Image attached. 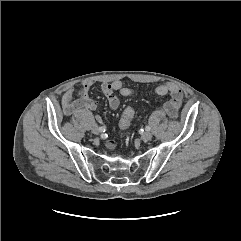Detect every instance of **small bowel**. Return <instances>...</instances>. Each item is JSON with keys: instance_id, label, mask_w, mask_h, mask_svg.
<instances>
[{"instance_id": "c3829d8e", "label": "small bowel", "mask_w": 241, "mask_h": 241, "mask_svg": "<svg viewBox=\"0 0 241 241\" xmlns=\"http://www.w3.org/2000/svg\"><path fill=\"white\" fill-rule=\"evenodd\" d=\"M91 85L92 82L83 83L79 89V95L76 98V89L74 87L66 89L62 96V108L65 115L70 116L82 109L95 110L98 107V103L88 96ZM100 91L107 98L111 110H117L120 105L118 95L127 97L137 92L136 89L126 87L120 80L102 83L100 85ZM154 92L161 96L170 95V100L164 104L163 108L169 117L176 118L183 101V93L179 87L172 83H166L156 86ZM116 93L118 95H116ZM106 146L109 149H113L115 143L109 140L106 142Z\"/></svg>"}]
</instances>
